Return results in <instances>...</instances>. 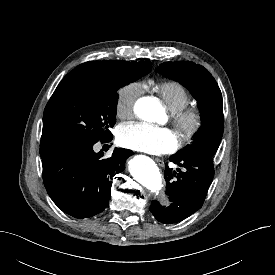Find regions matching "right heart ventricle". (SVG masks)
Instances as JSON below:
<instances>
[{"mask_svg": "<svg viewBox=\"0 0 275 275\" xmlns=\"http://www.w3.org/2000/svg\"><path fill=\"white\" fill-rule=\"evenodd\" d=\"M155 92L163 100L171 113L182 110L191 103V96L188 90L176 81L158 83L155 86Z\"/></svg>", "mask_w": 275, "mask_h": 275, "instance_id": "1", "label": "right heart ventricle"}]
</instances>
